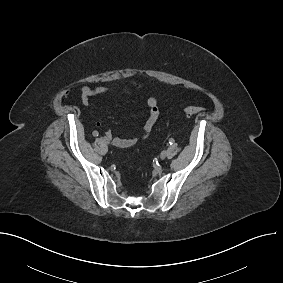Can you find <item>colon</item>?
Listing matches in <instances>:
<instances>
[{"label":"colon","mask_w":283,"mask_h":283,"mask_svg":"<svg viewBox=\"0 0 283 283\" xmlns=\"http://www.w3.org/2000/svg\"><path fill=\"white\" fill-rule=\"evenodd\" d=\"M202 110H203V108L200 107V106H187V107L184 109V113H185L187 116H192V115H195V114L200 113Z\"/></svg>","instance_id":"5ec220e1"}]
</instances>
